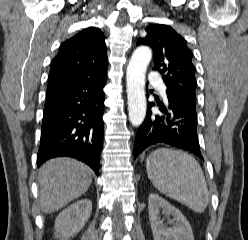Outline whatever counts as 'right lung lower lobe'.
Returning a JSON list of instances; mask_svg holds the SVG:
<instances>
[{
    "label": "right lung lower lobe",
    "mask_w": 248,
    "mask_h": 240,
    "mask_svg": "<svg viewBox=\"0 0 248 240\" xmlns=\"http://www.w3.org/2000/svg\"><path fill=\"white\" fill-rule=\"evenodd\" d=\"M106 80L107 75L46 92L38 166L53 157L69 156L98 175Z\"/></svg>",
    "instance_id": "1"
}]
</instances>
